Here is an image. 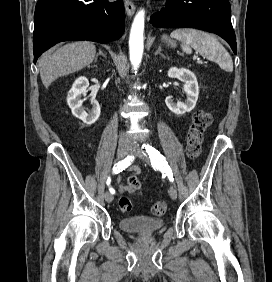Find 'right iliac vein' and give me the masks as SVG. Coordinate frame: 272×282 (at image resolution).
<instances>
[{
	"label": "right iliac vein",
	"mask_w": 272,
	"mask_h": 282,
	"mask_svg": "<svg viewBox=\"0 0 272 282\" xmlns=\"http://www.w3.org/2000/svg\"><path fill=\"white\" fill-rule=\"evenodd\" d=\"M129 152V143L126 140H121L118 144L117 158L121 159ZM105 200L110 203L113 201V195L111 193H105Z\"/></svg>",
	"instance_id": "right-iliac-vein-1"
}]
</instances>
